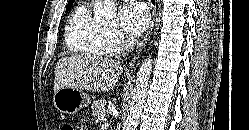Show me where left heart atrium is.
Masks as SVG:
<instances>
[{
    "instance_id": "obj_1",
    "label": "left heart atrium",
    "mask_w": 249,
    "mask_h": 130,
    "mask_svg": "<svg viewBox=\"0 0 249 130\" xmlns=\"http://www.w3.org/2000/svg\"><path fill=\"white\" fill-rule=\"evenodd\" d=\"M149 11L141 2L129 3L120 10V20L123 29L130 36H138L149 24Z\"/></svg>"
}]
</instances>
